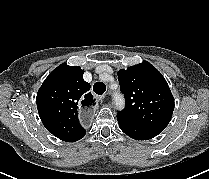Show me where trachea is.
I'll return each mask as SVG.
<instances>
[{
  "label": "trachea",
  "mask_w": 209,
  "mask_h": 179,
  "mask_svg": "<svg viewBox=\"0 0 209 179\" xmlns=\"http://www.w3.org/2000/svg\"><path fill=\"white\" fill-rule=\"evenodd\" d=\"M106 90V85L102 82H96L93 86V91L98 94L102 95Z\"/></svg>",
  "instance_id": "obj_1"
}]
</instances>
